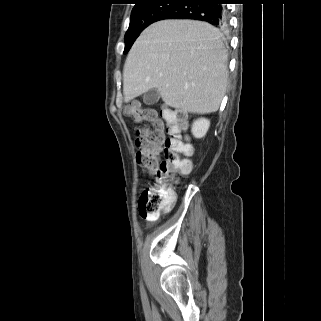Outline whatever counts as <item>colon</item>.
Returning <instances> with one entry per match:
<instances>
[{"instance_id": "1", "label": "colon", "mask_w": 321, "mask_h": 321, "mask_svg": "<svg viewBox=\"0 0 321 321\" xmlns=\"http://www.w3.org/2000/svg\"><path fill=\"white\" fill-rule=\"evenodd\" d=\"M125 113L135 121H148L151 127L137 130L136 146L137 162L150 178L147 188L139 199V211L144 218H153L167 213L174 202L171 187L173 173L179 171L187 174L192 169L190 160L182 156H190L192 147L182 136L185 127L184 114L177 110H166L163 120L157 118L155 112L132 102L125 108ZM166 128L168 137L164 138ZM164 145L163 157L160 158L161 146Z\"/></svg>"}]
</instances>
